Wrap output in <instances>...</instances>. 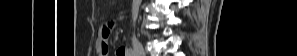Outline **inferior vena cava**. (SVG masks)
I'll use <instances>...</instances> for the list:
<instances>
[{"mask_svg": "<svg viewBox=\"0 0 297 56\" xmlns=\"http://www.w3.org/2000/svg\"><path fill=\"white\" fill-rule=\"evenodd\" d=\"M138 16V0H134L133 6H132V18L133 22L135 23Z\"/></svg>", "mask_w": 297, "mask_h": 56, "instance_id": "602c4592", "label": "inferior vena cava"}]
</instances>
